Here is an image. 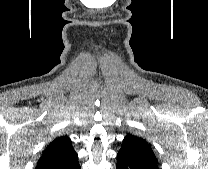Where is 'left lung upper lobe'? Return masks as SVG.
<instances>
[{
	"label": "left lung upper lobe",
	"instance_id": "left-lung-upper-lobe-1",
	"mask_svg": "<svg viewBox=\"0 0 208 169\" xmlns=\"http://www.w3.org/2000/svg\"><path fill=\"white\" fill-rule=\"evenodd\" d=\"M120 151L127 152L140 160L149 169H159V164L150 144L143 138L127 134Z\"/></svg>",
	"mask_w": 208,
	"mask_h": 169
}]
</instances>
